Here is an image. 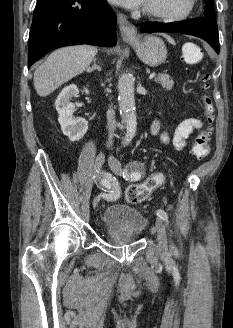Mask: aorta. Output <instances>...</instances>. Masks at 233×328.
Here are the masks:
<instances>
[{
  "label": "aorta",
  "mask_w": 233,
  "mask_h": 328,
  "mask_svg": "<svg viewBox=\"0 0 233 328\" xmlns=\"http://www.w3.org/2000/svg\"><path fill=\"white\" fill-rule=\"evenodd\" d=\"M118 102L120 115L126 125L125 143L128 144L136 132V108L134 96V79L128 74H122L118 81Z\"/></svg>",
  "instance_id": "aorta-1"
}]
</instances>
